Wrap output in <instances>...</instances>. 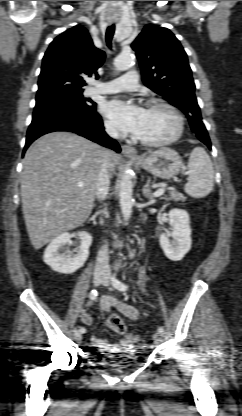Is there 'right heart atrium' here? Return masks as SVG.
Wrapping results in <instances>:
<instances>
[{
	"instance_id": "d8ad5b80",
	"label": "right heart atrium",
	"mask_w": 242,
	"mask_h": 416,
	"mask_svg": "<svg viewBox=\"0 0 242 416\" xmlns=\"http://www.w3.org/2000/svg\"><path fill=\"white\" fill-rule=\"evenodd\" d=\"M105 128L106 131L112 136H117L119 134L117 128L108 120L105 121Z\"/></svg>"
}]
</instances>
